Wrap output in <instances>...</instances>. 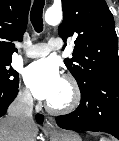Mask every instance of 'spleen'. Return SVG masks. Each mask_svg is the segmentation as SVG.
<instances>
[{"label":"spleen","instance_id":"3e777b00","mask_svg":"<svg viewBox=\"0 0 119 141\" xmlns=\"http://www.w3.org/2000/svg\"><path fill=\"white\" fill-rule=\"evenodd\" d=\"M100 141H106L104 138H102Z\"/></svg>","mask_w":119,"mask_h":141}]
</instances>
